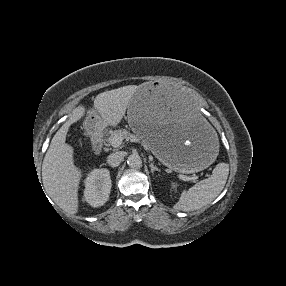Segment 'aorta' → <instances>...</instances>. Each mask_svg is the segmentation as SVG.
<instances>
[{
  "instance_id": "obj_1",
  "label": "aorta",
  "mask_w": 286,
  "mask_h": 286,
  "mask_svg": "<svg viewBox=\"0 0 286 286\" xmlns=\"http://www.w3.org/2000/svg\"><path fill=\"white\" fill-rule=\"evenodd\" d=\"M127 163L131 168H141L142 167V160L139 155L132 154L128 157Z\"/></svg>"
}]
</instances>
